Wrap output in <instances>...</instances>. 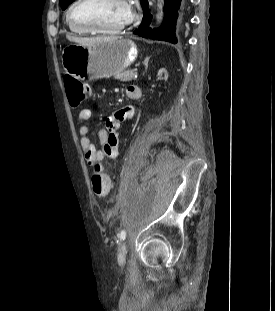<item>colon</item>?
I'll list each match as a JSON object with an SVG mask.
<instances>
[{
  "instance_id": "1",
  "label": "colon",
  "mask_w": 275,
  "mask_h": 311,
  "mask_svg": "<svg viewBox=\"0 0 275 311\" xmlns=\"http://www.w3.org/2000/svg\"><path fill=\"white\" fill-rule=\"evenodd\" d=\"M64 85L69 104L76 108L92 97V91L88 84H85L71 76H65ZM93 192L98 197H104L111 190V180L103 168L96 164L91 174Z\"/></svg>"
}]
</instances>
